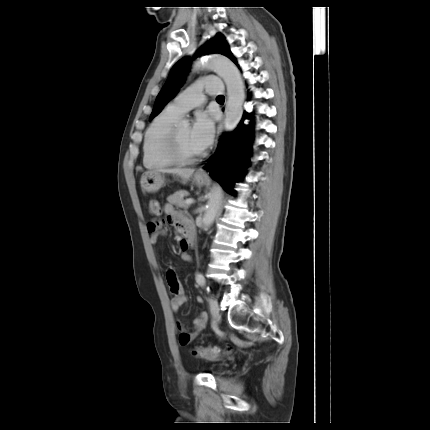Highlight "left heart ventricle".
I'll list each match as a JSON object with an SVG mask.
<instances>
[{
  "instance_id": "left-heart-ventricle-1",
  "label": "left heart ventricle",
  "mask_w": 430,
  "mask_h": 430,
  "mask_svg": "<svg viewBox=\"0 0 430 430\" xmlns=\"http://www.w3.org/2000/svg\"><path fill=\"white\" fill-rule=\"evenodd\" d=\"M178 138L182 151L186 155H195L199 151L193 146L191 142V129L188 126L180 125L178 128Z\"/></svg>"
}]
</instances>
